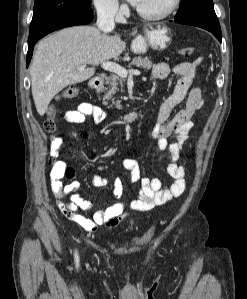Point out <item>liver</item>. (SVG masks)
Returning a JSON list of instances; mask_svg holds the SVG:
<instances>
[{
  "instance_id": "6515ba94",
  "label": "liver",
  "mask_w": 247,
  "mask_h": 299,
  "mask_svg": "<svg viewBox=\"0 0 247 299\" xmlns=\"http://www.w3.org/2000/svg\"><path fill=\"white\" fill-rule=\"evenodd\" d=\"M125 47L119 35L101 33L94 26L68 27L40 41L30 67L31 90L39 115L46 113L60 91L91 78L95 66L116 59Z\"/></svg>"
}]
</instances>
